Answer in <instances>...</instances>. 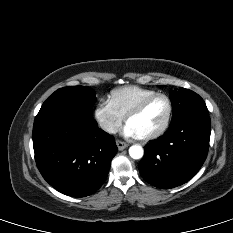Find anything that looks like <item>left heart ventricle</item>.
<instances>
[{
  "instance_id": "obj_1",
  "label": "left heart ventricle",
  "mask_w": 233,
  "mask_h": 233,
  "mask_svg": "<svg viewBox=\"0 0 233 233\" xmlns=\"http://www.w3.org/2000/svg\"><path fill=\"white\" fill-rule=\"evenodd\" d=\"M167 103L163 98L151 102L138 116L128 122L138 136H145L157 131L164 123L167 116Z\"/></svg>"
}]
</instances>
